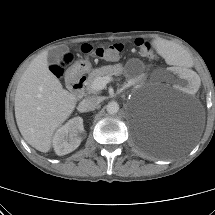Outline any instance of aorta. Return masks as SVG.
I'll use <instances>...</instances> for the list:
<instances>
[{
  "mask_svg": "<svg viewBox=\"0 0 215 215\" xmlns=\"http://www.w3.org/2000/svg\"><path fill=\"white\" fill-rule=\"evenodd\" d=\"M107 112L111 115L119 111V104L116 101H111L106 106Z\"/></svg>",
  "mask_w": 215,
  "mask_h": 215,
  "instance_id": "aorta-1",
  "label": "aorta"
}]
</instances>
